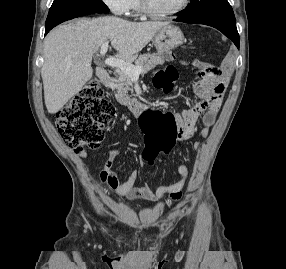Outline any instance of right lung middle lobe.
I'll return each instance as SVG.
<instances>
[{
    "label": "right lung middle lobe",
    "mask_w": 286,
    "mask_h": 269,
    "mask_svg": "<svg viewBox=\"0 0 286 269\" xmlns=\"http://www.w3.org/2000/svg\"><path fill=\"white\" fill-rule=\"evenodd\" d=\"M109 12L102 0H54L49 9L45 28L83 15Z\"/></svg>",
    "instance_id": "obj_1"
}]
</instances>
